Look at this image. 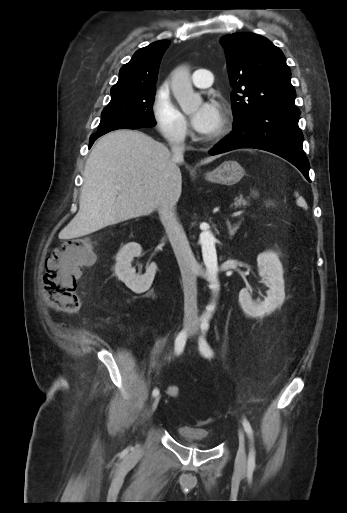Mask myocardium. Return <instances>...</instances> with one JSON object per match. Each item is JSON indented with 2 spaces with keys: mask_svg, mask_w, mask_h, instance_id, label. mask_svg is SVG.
I'll return each mask as SVG.
<instances>
[{
  "mask_svg": "<svg viewBox=\"0 0 347 513\" xmlns=\"http://www.w3.org/2000/svg\"><path fill=\"white\" fill-rule=\"evenodd\" d=\"M228 129H229V121H228L227 117H225L223 119V121L221 122L219 129L213 135L207 137L205 140L209 141V142L216 141L219 138H221L228 131Z\"/></svg>",
  "mask_w": 347,
  "mask_h": 513,
  "instance_id": "f54148a6",
  "label": "myocardium"
}]
</instances>
